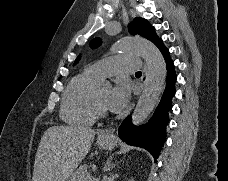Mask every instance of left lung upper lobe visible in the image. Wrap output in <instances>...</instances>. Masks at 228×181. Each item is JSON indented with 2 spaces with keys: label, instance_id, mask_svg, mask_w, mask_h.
<instances>
[{
  "label": "left lung upper lobe",
  "instance_id": "1",
  "mask_svg": "<svg viewBox=\"0 0 228 181\" xmlns=\"http://www.w3.org/2000/svg\"><path fill=\"white\" fill-rule=\"evenodd\" d=\"M130 33L132 35H140L154 44L159 40L158 36L155 33L154 28L148 23L147 20L143 18H135L134 21L129 26ZM101 43L99 38H95L91 41L90 45L92 48L97 47ZM78 57L75 61V64L79 61Z\"/></svg>",
  "mask_w": 228,
  "mask_h": 181
}]
</instances>
